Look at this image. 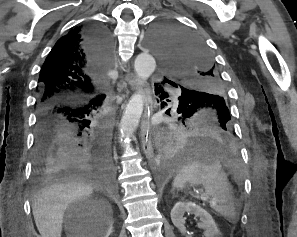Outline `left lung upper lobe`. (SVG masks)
I'll use <instances>...</instances> for the list:
<instances>
[{"label":"left lung upper lobe","instance_id":"5c2ea615","mask_svg":"<svg viewBox=\"0 0 297 237\" xmlns=\"http://www.w3.org/2000/svg\"><path fill=\"white\" fill-rule=\"evenodd\" d=\"M148 41L160 58L169 84L181 88L183 109L201 115L224 117L231 128L225 87L214 59L202 39L173 23H159L148 34Z\"/></svg>","mask_w":297,"mask_h":237}]
</instances>
